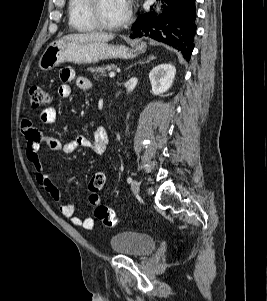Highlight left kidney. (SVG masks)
<instances>
[{"label":"left kidney","instance_id":"obj_1","mask_svg":"<svg viewBox=\"0 0 267 301\" xmlns=\"http://www.w3.org/2000/svg\"><path fill=\"white\" fill-rule=\"evenodd\" d=\"M175 74L176 69L171 64H160L154 67L149 73L152 93L154 95H160L169 90L173 84Z\"/></svg>","mask_w":267,"mask_h":301}]
</instances>
